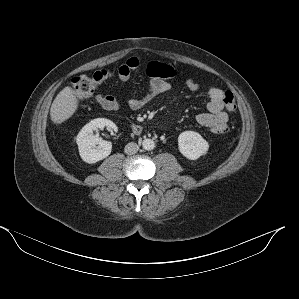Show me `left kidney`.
Masks as SVG:
<instances>
[{
    "mask_svg": "<svg viewBox=\"0 0 299 299\" xmlns=\"http://www.w3.org/2000/svg\"><path fill=\"white\" fill-rule=\"evenodd\" d=\"M180 153L189 160H197L209 149L208 142L197 132L184 131L178 137Z\"/></svg>",
    "mask_w": 299,
    "mask_h": 299,
    "instance_id": "1",
    "label": "left kidney"
}]
</instances>
